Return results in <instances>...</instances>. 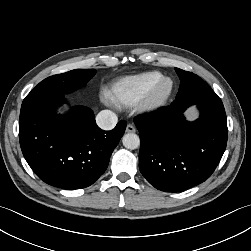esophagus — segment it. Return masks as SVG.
I'll return each mask as SVG.
<instances>
[{
  "instance_id": "esophagus-1",
  "label": "esophagus",
  "mask_w": 251,
  "mask_h": 251,
  "mask_svg": "<svg viewBox=\"0 0 251 251\" xmlns=\"http://www.w3.org/2000/svg\"><path fill=\"white\" fill-rule=\"evenodd\" d=\"M126 132L127 133H135L136 128L132 124H128L127 127H126Z\"/></svg>"
}]
</instances>
